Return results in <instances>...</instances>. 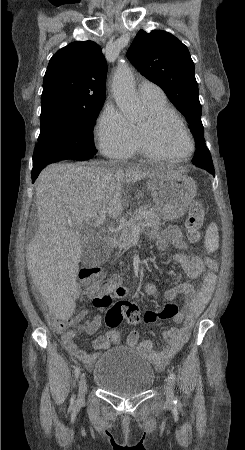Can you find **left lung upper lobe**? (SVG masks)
<instances>
[{"label": "left lung upper lobe", "mask_w": 245, "mask_h": 450, "mask_svg": "<svg viewBox=\"0 0 245 450\" xmlns=\"http://www.w3.org/2000/svg\"><path fill=\"white\" fill-rule=\"evenodd\" d=\"M127 57L138 71L163 89L186 117L196 145L207 148L195 67L187 47L168 32L140 30ZM192 162L202 168L213 164L209 150L202 159L194 155Z\"/></svg>", "instance_id": "1"}]
</instances>
